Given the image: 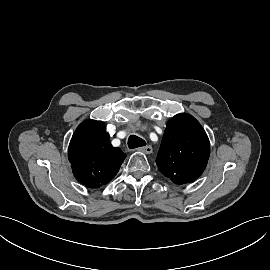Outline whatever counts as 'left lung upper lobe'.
<instances>
[{
    "mask_svg": "<svg viewBox=\"0 0 270 270\" xmlns=\"http://www.w3.org/2000/svg\"><path fill=\"white\" fill-rule=\"evenodd\" d=\"M210 154L208 136L191 115L177 114L167 123L156 163L176 184L196 180L204 171Z\"/></svg>",
    "mask_w": 270,
    "mask_h": 270,
    "instance_id": "left-lung-upper-lobe-1",
    "label": "left lung upper lobe"
}]
</instances>
